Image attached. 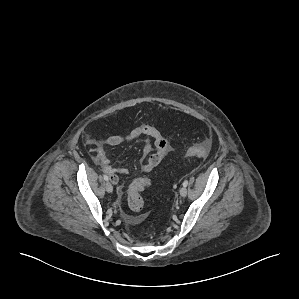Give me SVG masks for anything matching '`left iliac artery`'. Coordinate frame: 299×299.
I'll return each mask as SVG.
<instances>
[{"label": "left iliac artery", "instance_id": "44dca946", "mask_svg": "<svg viewBox=\"0 0 299 299\" xmlns=\"http://www.w3.org/2000/svg\"><path fill=\"white\" fill-rule=\"evenodd\" d=\"M187 185H188V181L185 180V181L183 182V186L186 187Z\"/></svg>", "mask_w": 299, "mask_h": 299}]
</instances>
